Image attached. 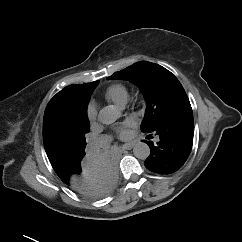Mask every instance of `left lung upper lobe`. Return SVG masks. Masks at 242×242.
<instances>
[{
  "mask_svg": "<svg viewBox=\"0 0 242 242\" xmlns=\"http://www.w3.org/2000/svg\"><path fill=\"white\" fill-rule=\"evenodd\" d=\"M107 79H125L141 89L147 108L141 123V130L153 131L172 114L191 108L188 96L181 83L164 67L143 61L135 63Z\"/></svg>",
  "mask_w": 242,
  "mask_h": 242,
  "instance_id": "left-lung-upper-lobe-1",
  "label": "left lung upper lobe"
}]
</instances>
